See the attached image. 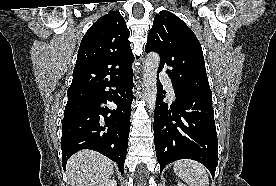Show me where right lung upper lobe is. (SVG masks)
I'll use <instances>...</instances> for the list:
<instances>
[{"mask_svg": "<svg viewBox=\"0 0 276 186\" xmlns=\"http://www.w3.org/2000/svg\"><path fill=\"white\" fill-rule=\"evenodd\" d=\"M129 30L118 11L96 21L84 35L68 90L98 88L133 72Z\"/></svg>", "mask_w": 276, "mask_h": 186, "instance_id": "right-lung-upper-lobe-1", "label": "right lung upper lobe"}]
</instances>
